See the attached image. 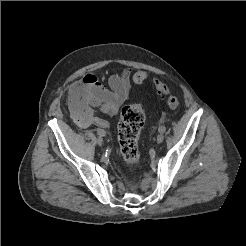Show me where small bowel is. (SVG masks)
Listing matches in <instances>:
<instances>
[{
  "instance_id": "1",
  "label": "small bowel",
  "mask_w": 246,
  "mask_h": 246,
  "mask_svg": "<svg viewBox=\"0 0 246 246\" xmlns=\"http://www.w3.org/2000/svg\"><path fill=\"white\" fill-rule=\"evenodd\" d=\"M110 89H106L91 73L68 88L69 108L74 122L81 128L92 125L107 128L108 121L100 118L97 113H105L114 117L120 106L129 98L131 83L130 71L123 70L108 79Z\"/></svg>"
}]
</instances>
